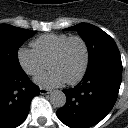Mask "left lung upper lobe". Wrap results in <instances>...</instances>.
Returning a JSON list of instances; mask_svg holds the SVG:
<instances>
[{
  "label": "left lung upper lobe",
  "instance_id": "obj_1",
  "mask_svg": "<svg viewBox=\"0 0 128 128\" xmlns=\"http://www.w3.org/2000/svg\"><path fill=\"white\" fill-rule=\"evenodd\" d=\"M65 30H77L86 42L89 51L88 66L104 57L120 56L118 47L112 37L92 24L80 23Z\"/></svg>",
  "mask_w": 128,
  "mask_h": 128
}]
</instances>
